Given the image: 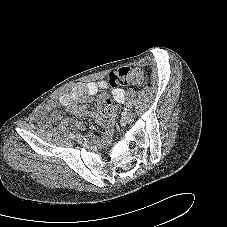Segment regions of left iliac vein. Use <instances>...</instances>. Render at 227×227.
Segmentation results:
<instances>
[{
  "label": "left iliac vein",
  "mask_w": 227,
  "mask_h": 227,
  "mask_svg": "<svg viewBox=\"0 0 227 227\" xmlns=\"http://www.w3.org/2000/svg\"><path fill=\"white\" fill-rule=\"evenodd\" d=\"M133 120H134V114L132 112H126L122 117V121L124 123H131Z\"/></svg>",
  "instance_id": "4c4485c4"
}]
</instances>
